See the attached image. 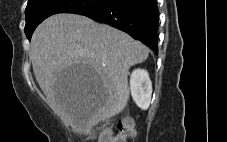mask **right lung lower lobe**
Segmentation results:
<instances>
[{"label": "right lung lower lobe", "instance_id": "1", "mask_svg": "<svg viewBox=\"0 0 227 142\" xmlns=\"http://www.w3.org/2000/svg\"><path fill=\"white\" fill-rule=\"evenodd\" d=\"M78 14L120 29L158 52L157 0H107Z\"/></svg>", "mask_w": 227, "mask_h": 142}]
</instances>
